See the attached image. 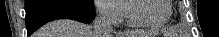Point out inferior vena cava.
I'll use <instances>...</instances> for the list:
<instances>
[{"instance_id": "obj_1", "label": "inferior vena cava", "mask_w": 219, "mask_h": 37, "mask_svg": "<svg viewBox=\"0 0 219 37\" xmlns=\"http://www.w3.org/2000/svg\"><path fill=\"white\" fill-rule=\"evenodd\" d=\"M92 29L95 37H112L113 27L110 11L107 8L98 9Z\"/></svg>"}]
</instances>
